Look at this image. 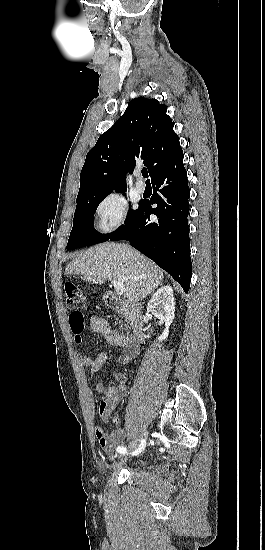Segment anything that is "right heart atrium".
<instances>
[{
    "instance_id": "1",
    "label": "right heart atrium",
    "mask_w": 265,
    "mask_h": 550,
    "mask_svg": "<svg viewBox=\"0 0 265 550\" xmlns=\"http://www.w3.org/2000/svg\"><path fill=\"white\" fill-rule=\"evenodd\" d=\"M127 203L118 192L107 194L97 205L98 226L103 233H112L127 221Z\"/></svg>"
}]
</instances>
